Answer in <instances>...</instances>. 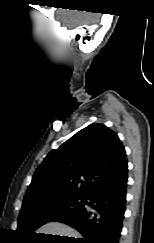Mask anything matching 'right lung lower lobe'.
Instances as JSON below:
<instances>
[{
    "label": "right lung lower lobe",
    "mask_w": 154,
    "mask_h": 243,
    "mask_svg": "<svg viewBox=\"0 0 154 243\" xmlns=\"http://www.w3.org/2000/svg\"><path fill=\"white\" fill-rule=\"evenodd\" d=\"M127 166L97 184L85 197L82 208L57 217L54 221L76 228L80 239L71 243H119L125 212Z\"/></svg>",
    "instance_id": "obj_1"
}]
</instances>
